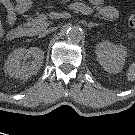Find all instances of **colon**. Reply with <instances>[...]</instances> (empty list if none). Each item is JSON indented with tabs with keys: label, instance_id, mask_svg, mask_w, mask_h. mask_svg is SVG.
Instances as JSON below:
<instances>
[{
	"label": "colon",
	"instance_id": "5ec220e1",
	"mask_svg": "<svg viewBox=\"0 0 135 135\" xmlns=\"http://www.w3.org/2000/svg\"><path fill=\"white\" fill-rule=\"evenodd\" d=\"M129 24L131 27L135 28V12L131 13L129 16Z\"/></svg>",
	"mask_w": 135,
	"mask_h": 135
}]
</instances>
